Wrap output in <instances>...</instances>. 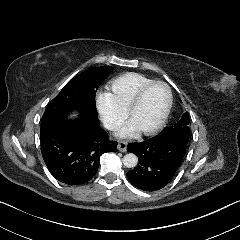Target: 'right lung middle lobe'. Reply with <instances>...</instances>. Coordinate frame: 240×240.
<instances>
[{
	"mask_svg": "<svg viewBox=\"0 0 240 240\" xmlns=\"http://www.w3.org/2000/svg\"><path fill=\"white\" fill-rule=\"evenodd\" d=\"M111 67H92L71 79L48 104L41 127L65 119L69 112L78 110L81 115L97 117L95 95L100 84L111 72Z\"/></svg>",
	"mask_w": 240,
	"mask_h": 240,
	"instance_id": "obj_1",
	"label": "right lung middle lobe"
}]
</instances>
